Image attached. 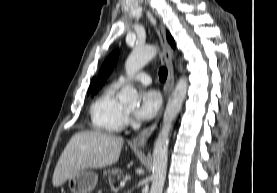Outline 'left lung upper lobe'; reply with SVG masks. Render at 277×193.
<instances>
[{
  "mask_svg": "<svg viewBox=\"0 0 277 193\" xmlns=\"http://www.w3.org/2000/svg\"><path fill=\"white\" fill-rule=\"evenodd\" d=\"M118 56H119V52L114 51L105 60L104 64L102 65V67L100 69V72H99V75H98V78H97V81H96V84H95L92 95H94V93H96L98 91V89L101 88L104 85L107 77L109 76V74L111 73L112 69L114 68V66L117 62Z\"/></svg>",
  "mask_w": 277,
  "mask_h": 193,
  "instance_id": "5c2ea615",
  "label": "left lung upper lobe"
}]
</instances>
